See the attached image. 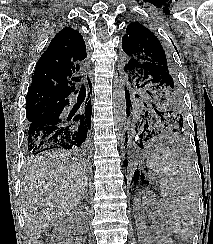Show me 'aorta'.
<instances>
[{"label":"aorta","instance_id":"1","mask_svg":"<svg viewBox=\"0 0 213 244\" xmlns=\"http://www.w3.org/2000/svg\"><path fill=\"white\" fill-rule=\"evenodd\" d=\"M114 126L118 141L123 146L127 131L125 81L118 79L114 83Z\"/></svg>","mask_w":213,"mask_h":244}]
</instances>
